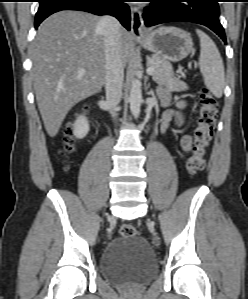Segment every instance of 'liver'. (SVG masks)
I'll return each instance as SVG.
<instances>
[{
  "mask_svg": "<svg viewBox=\"0 0 248 299\" xmlns=\"http://www.w3.org/2000/svg\"><path fill=\"white\" fill-rule=\"evenodd\" d=\"M101 18L81 11H60L38 28L31 46L36 101L50 137L59 132L70 109L105 83ZM123 68L133 50L132 36L119 28ZM83 69L84 73L79 71Z\"/></svg>",
  "mask_w": 248,
  "mask_h": 299,
  "instance_id": "obj_1",
  "label": "liver"
}]
</instances>
